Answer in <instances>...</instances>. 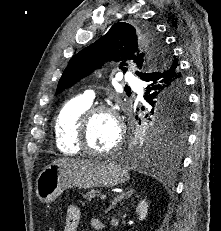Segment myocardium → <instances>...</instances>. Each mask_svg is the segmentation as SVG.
<instances>
[{
	"label": "myocardium",
	"mask_w": 221,
	"mask_h": 231,
	"mask_svg": "<svg viewBox=\"0 0 221 231\" xmlns=\"http://www.w3.org/2000/svg\"><path fill=\"white\" fill-rule=\"evenodd\" d=\"M99 113H106L113 117L118 128V138L116 142L106 150H95L89 146L88 130L92 119ZM125 138V125L120 117L119 112L109 105H96L89 107L80 117L77 124V144L85 152L96 155L106 156L116 152L123 144Z\"/></svg>",
	"instance_id": "1"
}]
</instances>
